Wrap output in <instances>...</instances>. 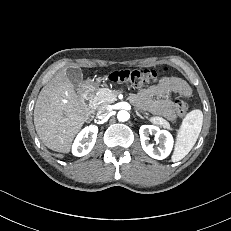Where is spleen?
<instances>
[{
	"instance_id": "spleen-1",
	"label": "spleen",
	"mask_w": 231,
	"mask_h": 231,
	"mask_svg": "<svg viewBox=\"0 0 231 231\" xmlns=\"http://www.w3.org/2000/svg\"><path fill=\"white\" fill-rule=\"evenodd\" d=\"M203 124V113L199 109L192 110L183 119L177 131V139L172 161L182 160L195 145L201 132Z\"/></svg>"
}]
</instances>
